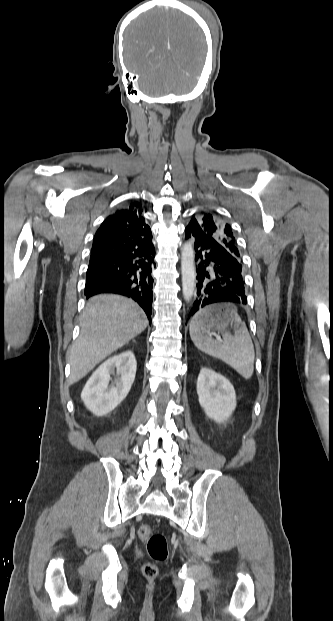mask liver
I'll use <instances>...</instances> for the list:
<instances>
[{
  "mask_svg": "<svg viewBox=\"0 0 333 621\" xmlns=\"http://www.w3.org/2000/svg\"><path fill=\"white\" fill-rule=\"evenodd\" d=\"M147 325L144 311L130 299L110 294L90 298L82 315L80 336L70 350V383L86 376Z\"/></svg>",
  "mask_w": 333,
  "mask_h": 621,
  "instance_id": "obj_1",
  "label": "liver"
}]
</instances>
